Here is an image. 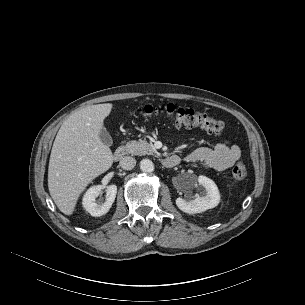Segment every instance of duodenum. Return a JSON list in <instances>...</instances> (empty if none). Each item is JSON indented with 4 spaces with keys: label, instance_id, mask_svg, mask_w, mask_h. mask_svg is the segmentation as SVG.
Listing matches in <instances>:
<instances>
[{
    "label": "duodenum",
    "instance_id": "obj_1",
    "mask_svg": "<svg viewBox=\"0 0 305 305\" xmlns=\"http://www.w3.org/2000/svg\"><path fill=\"white\" fill-rule=\"evenodd\" d=\"M126 153V146L124 144H120L119 146L116 147L114 153H113V160L114 161H120ZM180 162L179 157L177 156H170V157H165L162 160V163L165 167H173L177 165Z\"/></svg>",
    "mask_w": 305,
    "mask_h": 305
}]
</instances>
